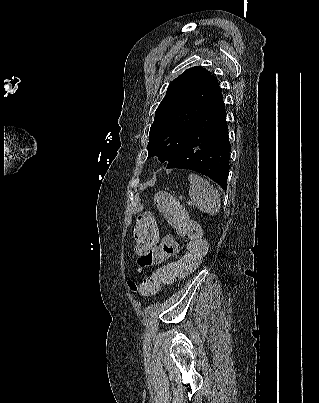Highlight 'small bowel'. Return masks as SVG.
Returning a JSON list of instances; mask_svg holds the SVG:
<instances>
[{
    "mask_svg": "<svg viewBox=\"0 0 319 403\" xmlns=\"http://www.w3.org/2000/svg\"><path fill=\"white\" fill-rule=\"evenodd\" d=\"M180 251V245L175 238L172 235H167L160 241V243H157V247H151L146 250V252H141L139 255V262L144 266V268L151 267L168 258L177 256ZM184 276L185 275L181 277Z\"/></svg>",
    "mask_w": 319,
    "mask_h": 403,
    "instance_id": "1",
    "label": "small bowel"
}]
</instances>
